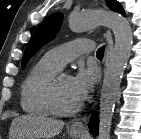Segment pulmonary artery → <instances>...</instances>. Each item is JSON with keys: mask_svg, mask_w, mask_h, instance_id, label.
I'll use <instances>...</instances> for the list:
<instances>
[{"mask_svg": "<svg viewBox=\"0 0 141 139\" xmlns=\"http://www.w3.org/2000/svg\"><path fill=\"white\" fill-rule=\"evenodd\" d=\"M93 49V41L80 39L57 46L49 50L44 57L57 67L62 68L79 55L89 53Z\"/></svg>", "mask_w": 141, "mask_h": 139, "instance_id": "pulmonary-artery-1", "label": "pulmonary artery"}]
</instances>
